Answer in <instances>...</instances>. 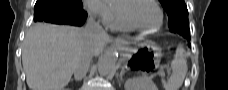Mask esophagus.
Listing matches in <instances>:
<instances>
[{
  "mask_svg": "<svg viewBox=\"0 0 228 90\" xmlns=\"http://www.w3.org/2000/svg\"><path fill=\"white\" fill-rule=\"evenodd\" d=\"M115 41H116L117 43H119V42H122V41H123V39H122V38H120V37H118V38H116V39H115Z\"/></svg>",
  "mask_w": 228,
  "mask_h": 90,
  "instance_id": "1",
  "label": "esophagus"
}]
</instances>
